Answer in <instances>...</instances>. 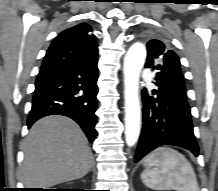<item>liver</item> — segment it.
<instances>
[{"mask_svg": "<svg viewBox=\"0 0 218 191\" xmlns=\"http://www.w3.org/2000/svg\"><path fill=\"white\" fill-rule=\"evenodd\" d=\"M22 181L46 188L84 177L93 166L88 140L73 120L47 116L30 129L24 142Z\"/></svg>", "mask_w": 218, "mask_h": 191, "instance_id": "1", "label": "liver"}]
</instances>
